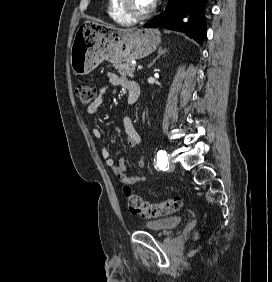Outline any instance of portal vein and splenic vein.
Returning <instances> with one entry per match:
<instances>
[{"instance_id": "portal-vein-and-splenic-vein-1", "label": "portal vein and splenic vein", "mask_w": 272, "mask_h": 282, "mask_svg": "<svg viewBox=\"0 0 272 282\" xmlns=\"http://www.w3.org/2000/svg\"><path fill=\"white\" fill-rule=\"evenodd\" d=\"M143 68L142 65H138V69L141 70Z\"/></svg>"}]
</instances>
